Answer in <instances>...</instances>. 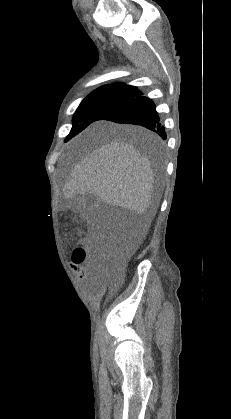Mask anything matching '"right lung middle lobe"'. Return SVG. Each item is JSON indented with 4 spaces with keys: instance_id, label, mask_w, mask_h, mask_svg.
<instances>
[{
    "instance_id": "right-lung-middle-lobe-1",
    "label": "right lung middle lobe",
    "mask_w": 231,
    "mask_h": 419,
    "mask_svg": "<svg viewBox=\"0 0 231 419\" xmlns=\"http://www.w3.org/2000/svg\"><path fill=\"white\" fill-rule=\"evenodd\" d=\"M135 91V87H101L86 97L73 116V126L67 140L84 130L89 124L127 100Z\"/></svg>"
}]
</instances>
